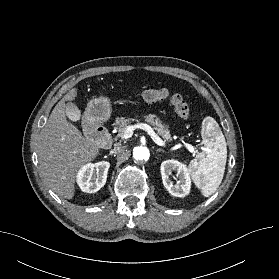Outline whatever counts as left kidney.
Masks as SVG:
<instances>
[{
    "label": "left kidney",
    "instance_id": "left-kidney-1",
    "mask_svg": "<svg viewBox=\"0 0 279 279\" xmlns=\"http://www.w3.org/2000/svg\"><path fill=\"white\" fill-rule=\"evenodd\" d=\"M162 181L167 191L175 197H185L191 188V178L186 165L177 160H166L160 167ZM172 171L177 172L178 183L173 184L170 179Z\"/></svg>",
    "mask_w": 279,
    "mask_h": 279
}]
</instances>
